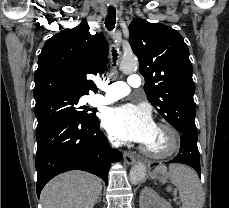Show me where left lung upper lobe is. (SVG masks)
Here are the masks:
<instances>
[{"mask_svg": "<svg viewBox=\"0 0 229 208\" xmlns=\"http://www.w3.org/2000/svg\"><path fill=\"white\" fill-rule=\"evenodd\" d=\"M129 32L148 101L181 134L197 130L193 67L183 37L169 26L141 18L131 22Z\"/></svg>", "mask_w": 229, "mask_h": 208, "instance_id": "obj_1", "label": "left lung upper lobe"}]
</instances>
